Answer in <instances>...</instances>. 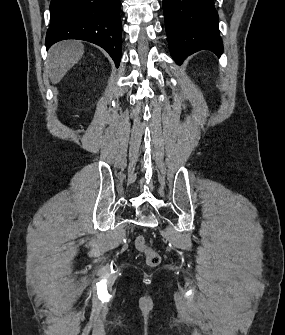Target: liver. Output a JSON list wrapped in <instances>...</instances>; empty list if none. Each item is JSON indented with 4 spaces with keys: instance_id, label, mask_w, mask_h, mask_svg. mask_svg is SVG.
I'll return each instance as SVG.
<instances>
[{
    "instance_id": "6515ba94",
    "label": "liver",
    "mask_w": 285,
    "mask_h": 335,
    "mask_svg": "<svg viewBox=\"0 0 285 335\" xmlns=\"http://www.w3.org/2000/svg\"><path fill=\"white\" fill-rule=\"evenodd\" d=\"M84 54L83 44L78 40H64L49 50L47 58L48 76L52 84H59Z\"/></svg>"
}]
</instances>
